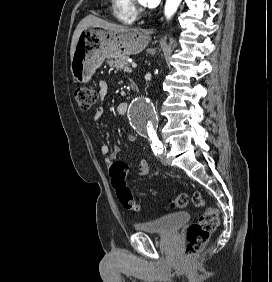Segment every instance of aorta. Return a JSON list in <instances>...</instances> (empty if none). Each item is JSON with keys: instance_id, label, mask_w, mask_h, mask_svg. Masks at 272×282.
I'll return each instance as SVG.
<instances>
[{"instance_id": "obj_1", "label": "aorta", "mask_w": 272, "mask_h": 282, "mask_svg": "<svg viewBox=\"0 0 272 282\" xmlns=\"http://www.w3.org/2000/svg\"><path fill=\"white\" fill-rule=\"evenodd\" d=\"M182 0H166L165 16L170 19L177 11ZM128 119L132 128L139 134L153 139L157 137L156 114L153 104L144 96L134 99L128 110Z\"/></svg>"}]
</instances>
